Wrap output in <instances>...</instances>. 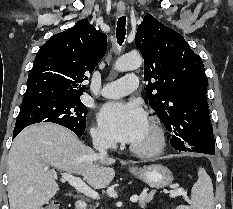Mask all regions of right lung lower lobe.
Wrapping results in <instances>:
<instances>
[{
  "label": "right lung lower lobe",
  "instance_id": "obj_1",
  "mask_svg": "<svg viewBox=\"0 0 233 209\" xmlns=\"http://www.w3.org/2000/svg\"><path fill=\"white\" fill-rule=\"evenodd\" d=\"M22 129L14 130L13 138H15ZM78 137H81L84 132L73 131Z\"/></svg>",
  "mask_w": 233,
  "mask_h": 209
}]
</instances>
